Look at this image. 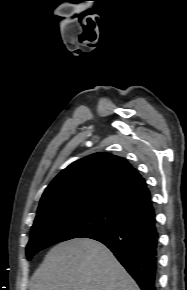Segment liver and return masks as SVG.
<instances>
[{"mask_svg": "<svg viewBox=\"0 0 187 290\" xmlns=\"http://www.w3.org/2000/svg\"><path fill=\"white\" fill-rule=\"evenodd\" d=\"M29 290H140L102 243L76 238L54 246L31 278Z\"/></svg>", "mask_w": 187, "mask_h": 290, "instance_id": "liver-1", "label": "liver"}]
</instances>
